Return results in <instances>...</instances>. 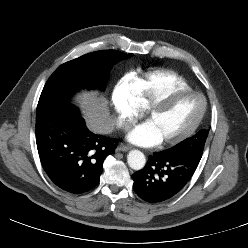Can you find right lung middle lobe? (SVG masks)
<instances>
[{"label": "right lung middle lobe", "mask_w": 248, "mask_h": 248, "mask_svg": "<svg viewBox=\"0 0 248 248\" xmlns=\"http://www.w3.org/2000/svg\"><path fill=\"white\" fill-rule=\"evenodd\" d=\"M123 56L126 55L116 50H102L62 64L46 82L39 103L68 102L70 96L81 88L103 90L113 62L121 60Z\"/></svg>", "instance_id": "1"}]
</instances>
